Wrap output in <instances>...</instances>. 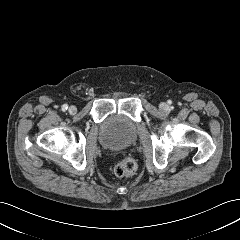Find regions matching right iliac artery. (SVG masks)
Instances as JSON below:
<instances>
[{
	"label": "right iliac artery",
	"mask_w": 240,
	"mask_h": 240,
	"mask_svg": "<svg viewBox=\"0 0 240 240\" xmlns=\"http://www.w3.org/2000/svg\"><path fill=\"white\" fill-rule=\"evenodd\" d=\"M67 108H68V106H67L66 104H64V105L62 106V110H63V111L67 110Z\"/></svg>",
	"instance_id": "right-iliac-artery-1"
}]
</instances>
